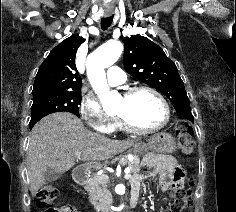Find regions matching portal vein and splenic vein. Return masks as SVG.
<instances>
[{
	"label": "portal vein and splenic vein",
	"mask_w": 236,
	"mask_h": 212,
	"mask_svg": "<svg viewBox=\"0 0 236 212\" xmlns=\"http://www.w3.org/2000/svg\"><path fill=\"white\" fill-rule=\"evenodd\" d=\"M75 155L77 157H80L81 153L80 152H75ZM129 172H130L129 169H125V171H124V173H125L124 178L125 179H129L130 178V173ZM97 177H99L101 180H104V181H108V179H109V177L107 175H101V176H97Z\"/></svg>",
	"instance_id": "1"
}]
</instances>
